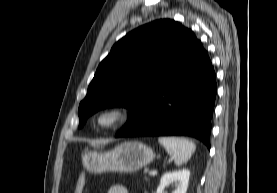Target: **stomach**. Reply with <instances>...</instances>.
<instances>
[{
  "label": "stomach",
  "instance_id": "stomach-1",
  "mask_svg": "<svg viewBox=\"0 0 277 193\" xmlns=\"http://www.w3.org/2000/svg\"><path fill=\"white\" fill-rule=\"evenodd\" d=\"M155 158L153 149L138 141H128L107 152H84L82 164L92 173H132L146 166Z\"/></svg>",
  "mask_w": 277,
  "mask_h": 193
}]
</instances>
